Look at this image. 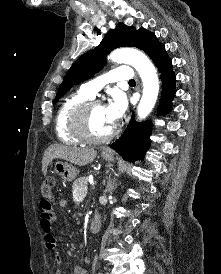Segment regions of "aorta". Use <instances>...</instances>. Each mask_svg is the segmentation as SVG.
<instances>
[{
	"instance_id": "obj_1",
	"label": "aorta",
	"mask_w": 221,
	"mask_h": 274,
	"mask_svg": "<svg viewBox=\"0 0 221 274\" xmlns=\"http://www.w3.org/2000/svg\"><path fill=\"white\" fill-rule=\"evenodd\" d=\"M108 59L129 64L139 73L143 83V93L137 114L140 120L145 119L152 111L159 92V81L154 65L144 53L132 48L117 49L108 56Z\"/></svg>"
}]
</instances>
